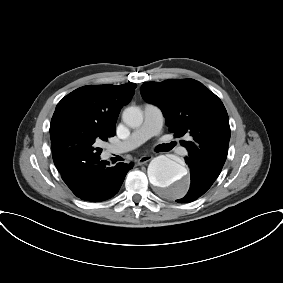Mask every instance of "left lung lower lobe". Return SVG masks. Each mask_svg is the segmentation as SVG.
Masks as SVG:
<instances>
[{
    "label": "left lung lower lobe",
    "instance_id": "obj_1",
    "mask_svg": "<svg viewBox=\"0 0 283 283\" xmlns=\"http://www.w3.org/2000/svg\"><path fill=\"white\" fill-rule=\"evenodd\" d=\"M185 162L190 168L191 186L185 197L177 202H191L203 195L214 183L220 171L203 167L197 160L185 157Z\"/></svg>",
    "mask_w": 283,
    "mask_h": 283
}]
</instances>
